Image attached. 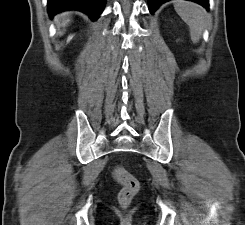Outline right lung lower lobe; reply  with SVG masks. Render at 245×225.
<instances>
[{"label": "right lung lower lobe", "mask_w": 245, "mask_h": 225, "mask_svg": "<svg viewBox=\"0 0 245 225\" xmlns=\"http://www.w3.org/2000/svg\"><path fill=\"white\" fill-rule=\"evenodd\" d=\"M106 0H48V13L53 17L66 10H79L96 20L102 13Z\"/></svg>", "instance_id": "obj_1"}]
</instances>
